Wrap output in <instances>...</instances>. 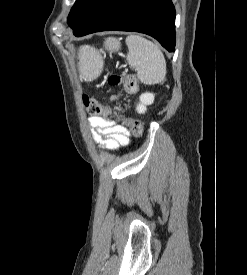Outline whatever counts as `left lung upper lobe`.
Here are the masks:
<instances>
[{"label":"left lung upper lobe","mask_w":247,"mask_h":275,"mask_svg":"<svg viewBox=\"0 0 247 275\" xmlns=\"http://www.w3.org/2000/svg\"><path fill=\"white\" fill-rule=\"evenodd\" d=\"M101 1L76 0L67 19L68 25L73 30L80 28Z\"/></svg>","instance_id":"1"}]
</instances>
